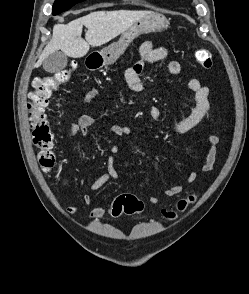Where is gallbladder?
<instances>
[{"mask_svg":"<svg viewBox=\"0 0 249 294\" xmlns=\"http://www.w3.org/2000/svg\"><path fill=\"white\" fill-rule=\"evenodd\" d=\"M68 63V57L62 51H56L43 60V68L46 72L56 73L62 71Z\"/></svg>","mask_w":249,"mask_h":294,"instance_id":"1","label":"gallbladder"}]
</instances>
